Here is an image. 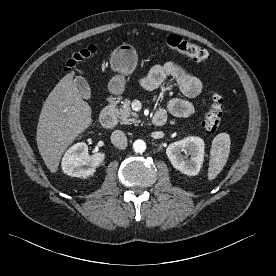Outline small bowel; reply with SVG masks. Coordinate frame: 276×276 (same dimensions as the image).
<instances>
[{
  "label": "small bowel",
  "instance_id": "obj_1",
  "mask_svg": "<svg viewBox=\"0 0 276 276\" xmlns=\"http://www.w3.org/2000/svg\"><path fill=\"white\" fill-rule=\"evenodd\" d=\"M167 79L174 80L181 92L189 98L197 97L202 90L200 80L187 73L174 61L153 66L140 80V85L145 91L154 92ZM166 109L176 117H188L194 114L196 104L191 100L173 98L168 102ZM161 111L165 113V110Z\"/></svg>",
  "mask_w": 276,
  "mask_h": 276
}]
</instances>
